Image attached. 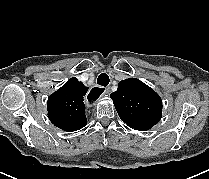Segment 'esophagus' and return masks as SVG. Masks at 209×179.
I'll list each match as a JSON object with an SVG mask.
<instances>
[{
  "mask_svg": "<svg viewBox=\"0 0 209 179\" xmlns=\"http://www.w3.org/2000/svg\"><path fill=\"white\" fill-rule=\"evenodd\" d=\"M109 94H110V88L107 87L103 90L102 88L95 87L90 91L88 102L94 103L97 99L96 95L108 96Z\"/></svg>",
  "mask_w": 209,
  "mask_h": 179,
  "instance_id": "esophagus-1",
  "label": "esophagus"
}]
</instances>
